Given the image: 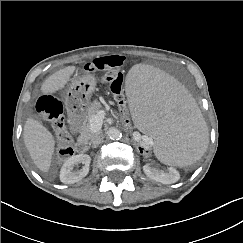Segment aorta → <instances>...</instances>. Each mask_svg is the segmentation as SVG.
<instances>
[{"mask_svg":"<svg viewBox=\"0 0 243 243\" xmlns=\"http://www.w3.org/2000/svg\"><path fill=\"white\" fill-rule=\"evenodd\" d=\"M107 136L112 140H118L122 137V133L119 129L111 127L107 130Z\"/></svg>","mask_w":243,"mask_h":243,"instance_id":"obj_1","label":"aorta"}]
</instances>
